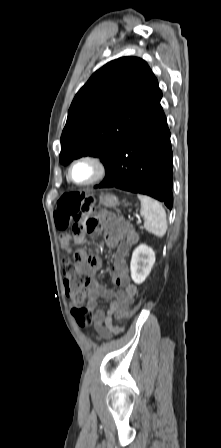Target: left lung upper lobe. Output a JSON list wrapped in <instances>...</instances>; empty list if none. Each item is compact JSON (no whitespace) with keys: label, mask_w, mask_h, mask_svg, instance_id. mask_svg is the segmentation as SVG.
<instances>
[{"label":"left lung upper lobe","mask_w":221,"mask_h":448,"mask_svg":"<svg viewBox=\"0 0 221 448\" xmlns=\"http://www.w3.org/2000/svg\"><path fill=\"white\" fill-rule=\"evenodd\" d=\"M162 96L147 63L122 57L97 70L76 94L61 135L60 162L99 157L106 167L115 150Z\"/></svg>","instance_id":"1"}]
</instances>
